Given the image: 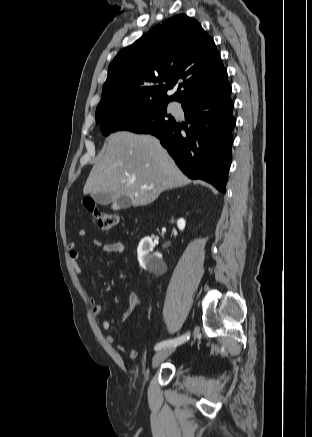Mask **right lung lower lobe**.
I'll use <instances>...</instances> for the list:
<instances>
[{"instance_id": "98d812e1", "label": "right lung lower lobe", "mask_w": 312, "mask_h": 437, "mask_svg": "<svg viewBox=\"0 0 312 437\" xmlns=\"http://www.w3.org/2000/svg\"><path fill=\"white\" fill-rule=\"evenodd\" d=\"M231 86L227 74L213 86L182 102L191 126L173 123L151 133L160 139L179 168L191 179H202L221 192L226 191L231 164L232 115Z\"/></svg>"}]
</instances>
